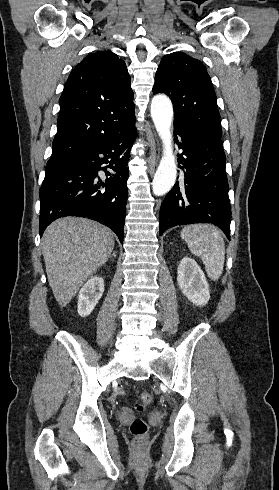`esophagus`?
<instances>
[{
	"label": "esophagus",
	"instance_id": "34e87169",
	"mask_svg": "<svg viewBox=\"0 0 279 490\" xmlns=\"http://www.w3.org/2000/svg\"><path fill=\"white\" fill-rule=\"evenodd\" d=\"M156 153H157V148L156 146H154L151 150H150V157H151V168H154L155 164H156Z\"/></svg>",
	"mask_w": 279,
	"mask_h": 490
}]
</instances>
